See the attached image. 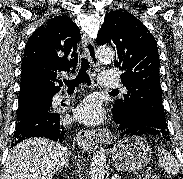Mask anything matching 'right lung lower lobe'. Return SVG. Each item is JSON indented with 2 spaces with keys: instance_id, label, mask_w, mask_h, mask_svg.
Returning <instances> with one entry per match:
<instances>
[{
  "instance_id": "obj_1",
  "label": "right lung lower lobe",
  "mask_w": 183,
  "mask_h": 179,
  "mask_svg": "<svg viewBox=\"0 0 183 179\" xmlns=\"http://www.w3.org/2000/svg\"><path fill=\"white\" fill-rule=\"evenodd\" d=\"M51 102L49 108L44 106L31 108L27 115L17 122L11 146L31 137H46L58 142L64 140L65 127L60 115L52 111Z\"/></svg>"
}]
</instances>
